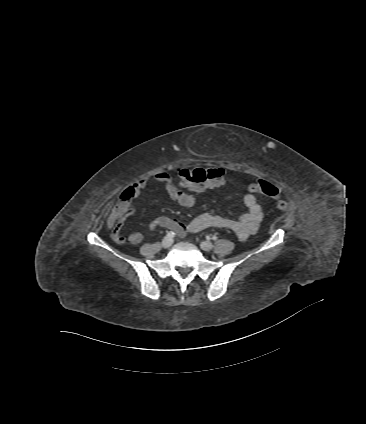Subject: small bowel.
I'll return each mask as SVG.
<instances>
[{"mask_svg": "<svg viewBox=\"0 0 366 424\" xmlns=\"http://www.w3.org/2000/svg\"><path fill=\"white\" fill-rule=\"evenodd\" d=\"M216 171L222 172L219 181L211 184L202 189H193L187 187L189 190L194 192H202L206 189L221 186L225 183V172L221 168H213ZM155 180L162 183L170 196V198L184 207H192L195 204V197L193 194L182 191L176 186L170 175L166 172H161L155 176ZM235 184L234 180L230 181ZM147 179H140L135 182L129 189L134 193V197L138 196L140 192L146 187ZM235 186V185H234ZM248 186L247 193L243 197V203L247 209V212L242 214L236 219L223 217L217 214L215 211L200 214L194 217L189 223L183 224L180 221L167 217L160 216L148 224V230L154 231L157 227L171 229L176 232L179 236L184 237L187 233H196L203 231L208 228H222L230 230L240 240H246L250 236L254 235L263 219L264 212L260 204L257 202L254 191ZM126 218H120L114 210L108 218V226L112 228V239L118 243L123 244L126 238L121 234V229ZM127 240L131 244H139L143 240L141 233H133L128 236Z\"/></svg>", "mask_w": 366, "mask_h": 424, "instance_id": "c3829d8e", "label": "small bowel"}]
</instances>
